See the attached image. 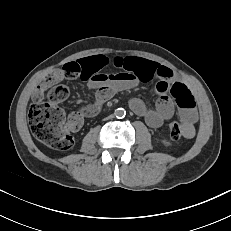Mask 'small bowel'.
<instances>
[{"label":"small bowel","instance_id":"obj_1","mask_svg":"<svg viewBox=\"0 0 231 231\" xmlns=\"http://www.w3.org/2000/svg\"><path fill=\"white\" fill-rule=\"evenodd\" d=\"M70 63L79 66L78 76L87 82L88 89L95 94V102L81 108L79 113L82 118L97 114L101 106L117 92L156 79L155 92L158 99L155 106L150 107L142 99L133 98L129 103L131 110L143 117L148 126L158 128L174 116L173 100H175L184 130L183 135L186 138L195 135L194 126L198 120V113L194 97L188 86L178 79L171 69L134 56L109 58L94 55ZM108 67H115L117 71L106 72L105 69ZM64 77L66 76L63 70L55 71L39 85L34 93V99L41 100L46 89ZM81 125L82 123L71 130L77 131Z\"/></svg>","mask_w":231,"mask_h":231}]
</instances>
